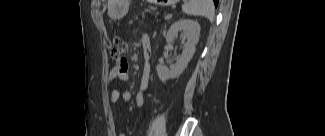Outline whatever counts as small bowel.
Wrapping results in <instances>:
<instances>
[{
	"mask_svg": "<svg viewBox=\"0 0 325 136\" xmlns=\"http://www.w3.org/2000/svg\"><path fill=\"white\" fill-rule=\"evenodd\" d=\"M144 43L149 47V37L145 36L143 38ZM150 78V67L146 63L140 78V88L141 91L135 96V103L138 107H143L145 105V95L144 91L148 87ZM109 81H118L120 83H126L129 80V63L127 59L119 60L116 65L110 70L108 74ZM131 93L129 91L120 92L117 89H113L110 92V102L116 104L118 101H129L131 100Z\"/></svg>",
	"mask_w": 325,
	"mask_h": 136,
	"instance_id": "c3829d8e",
	"label": "small bowel"
}]
</instances>
